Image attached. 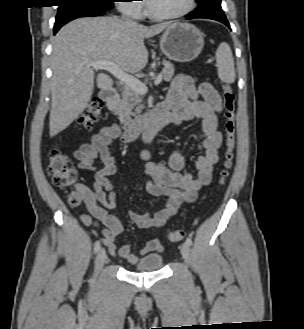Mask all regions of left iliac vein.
Segmentation results:
<instances>
[{
  "mask_svg": "<svg viewBox=\"0 0 304 329\" xmlns=\"http://www.w3.org/2000/svg\"><path fill=\"white\" fill-rule=\"evenodd\" d=\"M181 254L185 260V262L188 264L190 260V249L189 245L185 242L180 247Z\"/></svg>",
  "mask_w": 304,
  "mask_h": 329,
  "instance_id": "4c4485c4",
  "label": "left iliac vein"
}]
</instances>
